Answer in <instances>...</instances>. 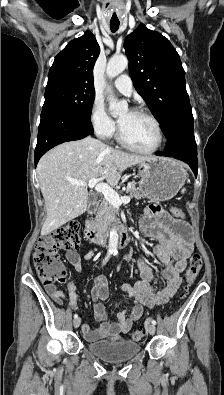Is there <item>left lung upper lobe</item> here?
Returning <instances> with one entry per match:
<instances>
[{
  "label": "left lung upper lobe",
  "mask_w": 224,
  "mask_h": 395,
  "mask_svg": "<svg viewBox=\"0 0 224 395\" xmlns=\"http://www.w3.org/2000/svg\"><path fill=\"white\" fill-rule=\"evenodd\" d=\"M134 87L161 124L164 134L191 112L180 57L169 40L140 24L124 42Z\"/></svg>",
  "instance_id": "5c2ea615"
}]
</instances>
